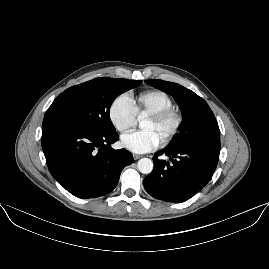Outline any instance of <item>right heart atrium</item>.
<instances>
[{
    "instance_id": "obj_1",
    "label": "right heart atrium",
    "mask_w": 269,
    "mask_h": 269,
    "mask_svg": "<svg viewBox=\"0 0 269 269\" xmlns=\"http://www.w3.org/2000/svg\"><path fill=\"white\" fill-rule=\"evenodd\" d=\"M108 118L111 124L121 133L134 129L138 117L131 97L122 93L116 96L109 105Z\"/></svg>"
}]
</instances>
